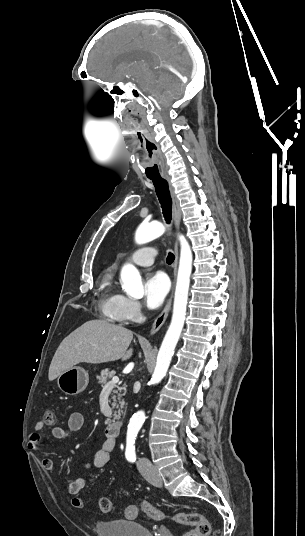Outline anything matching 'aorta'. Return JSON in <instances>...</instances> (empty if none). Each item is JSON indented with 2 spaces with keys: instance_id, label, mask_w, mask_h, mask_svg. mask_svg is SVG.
Instances as JSON below:
<instances>
[{
  "instance_id": "obj_1",
  "label": "aorta",
  "mask_w": 305,
  "mask_h": 536,
  "mask_svg": "<svg viewBox=\"0 0 305 536\" xmlns=\"http://www.w3.org/2000/svg\"><path fill=\"white\" fill-rule=\"evenodd\" d=\"M165 232V227L160 222L141 224L135 234V242L144 244L150 242ZM180 259L174 295L173 313L170 326L162 341L158 352L156 366L152 374L151 383L158 384L166 375L175 347L180 338L187 309L190 276L192 272L193 255L188 241L183 235H179ZM120 280L122 288L127 295L134 298H142L144 288L139 271L132 264H125L121 270ZM145 421L143 411L136 412L131 420L130 427L139 430Z\"/></svg>"
}]
</instances>
